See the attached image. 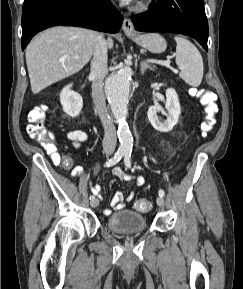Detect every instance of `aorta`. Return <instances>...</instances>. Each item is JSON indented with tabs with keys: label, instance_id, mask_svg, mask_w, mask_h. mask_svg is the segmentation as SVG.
Here are the masks:
<instances>
[{
	"label": "aorta",
	"instance_id": "1",
	"mask_svg": "<svg viewBox=\"0 0 243 289\" xmlns=\"http://www.w3.org/2000/svg\"><path fill=\"white\" fill-rule=\"evenodd\" d=\"M131 76L132 69L123 66L118 72L111 74L105 82V94L111 113L118 123L119 152L121 153L131 152L133 146V138L126 122Z\"/></svg>",
	"mask_w": 243,
	"mask_h": 289
}]
</instances>
